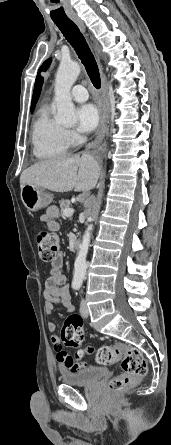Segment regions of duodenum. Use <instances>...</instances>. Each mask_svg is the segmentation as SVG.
I'll return each mask as SVG.
<instances>
[{
	"instance_id": "410a0bca",
	"label": "duodenum",
	"mask_w": 171,
	"mask_h": 445,
	"mask_svg": "<svg viewBox=\"0 0 171 445\" xmlns=\"http://www.w3.org/2000/svg\"><path fill=\"white\" fill-rule=\"evenodd\" d=\"M73 246L74 248L79 249L81 246V240L79 238L75 239L73 242Z\"/></svg>"
}]
</instances>
